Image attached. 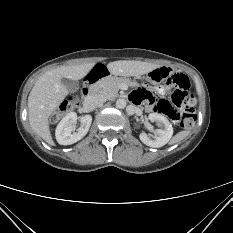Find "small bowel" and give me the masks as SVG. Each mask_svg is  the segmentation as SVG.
<instances>
[{
  "label": "small bowel",
  "mask_w": 233,
  "mask_h": 233,
  "mask_svg": "<svg viewBox=\"0 0 233 233\" xmlns=\"http://www.w3.org/2000/svg\"><path fill=\"white\" fill-rule=\"evenodd\" d=\"M165 91L166 89L164 87L159 86L156 88V92L160 95H163ZM150 97H151V94L147 90H138L132 94V100L136 104L140 103L141 101H149ZM149 109L155 111L151 103H149ZM136 111L138 112L137 109Z\"/></svg>",
  "instance_id": "c3829d8e"
}]
</instances>
